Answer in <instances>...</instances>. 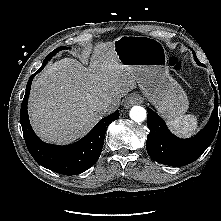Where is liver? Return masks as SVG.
I'll return each mask as SVG.
<instances>
[{"label": "liver", "mask_w": 221, "mask_h": 221, "mask_svg": "<svg viewBox=\"0 0 221 221\" xmlns=\"http://www.w3.org/2000/svg\"><path fill=\"white\" fill-rule=\"evenodd\" d=\"M135 88L133 72L120 63L113 42L97 43L88 68L64 58L33 82L28 103L32 127L45 141L73 142L106 115L103 103L120 102Z\"/></svg>", "instance_id": "obj_1"}]
</instances>
